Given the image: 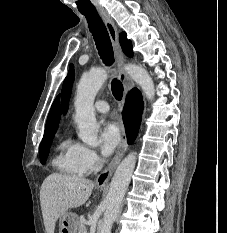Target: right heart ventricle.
<instances>
[{"label":"right heart ventricle","instance_id":"e07e8e85","mask_svg":"<svg viewBox=\"0 0 227 233\" xmlns=\"http://www.w3.org/2000/svg\"><path fill=\"white\" fill-rule=\"evenodd\" d=\"M53 164L67 175L83 176L86 173L81 161V145L70 139L59 144Z\"/></svg>","mask_w":227,"mask_h":233}]
</instances>
